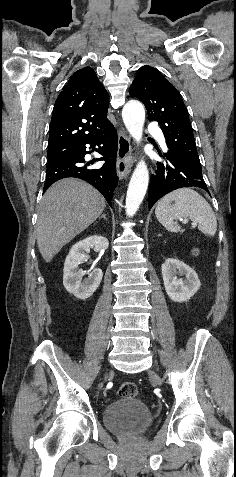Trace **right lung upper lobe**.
I'll list each match as a JSON object with an SVG mask.
<instances>
[{
	"label": "right lung upper lobe",
	"mask_w": 236,
	"mask_h": 477,
	"mask_svg": "<svg viewBox=\"0 0 236 477\" xmlns=\"http://www.w3.org/2000/svg\"><path fill=\"white\" fill-rule=\"evenodd\" d=\"M108 104V93L94 70L85 67L76 71L53 108L48 158L64 160L88 138L105 129L111 123L107 119Z\"/></svg>",
	"instance_id": "right-lung-upper-lobe-1"
}]
</instances>
